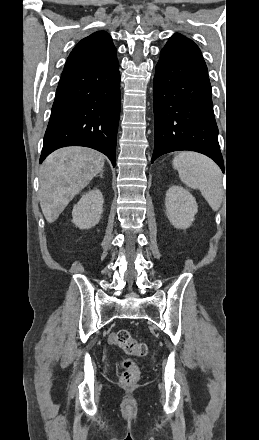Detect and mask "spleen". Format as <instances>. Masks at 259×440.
<instances>
[{"mask_svg":"<svg viewBox=\"0 0 259 440\" xmlns=\"http://www.w3.org/2000/svg\"><path fill=\"white\" fill-rule=\"evenodd\" d=\"M173 167L188 187L199 189L210 207L217 211L224 197L222 173L208 157L194 152H181L173 159Z\"/></svg>","mask_w":259,"mask_h":440,"instance_id":"obj_1","label":"spleen"}]
</instances>
